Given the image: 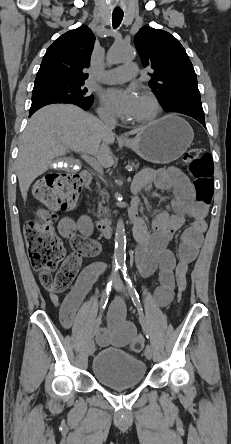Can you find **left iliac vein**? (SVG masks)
I'll list each match as a JSON object with an SVG mask.
<instances>
[{
	"label": "left iliac vein",
	"mask_w": 231,
	"mask_h": 444,
	"mask_svg": "<svg viewBox=\"0 0 231 444\" xmlns=\"http://www.w3.org/2000/svg\"><path fill=\"white\" fill-rule=\"evenodd\" d=\"M114 288L117 290V291H119V292H121V293H127V289H126V287L123 285V283L120 281V280H118V279H116L115 280V283H114ZM145 356H146V358L147 359H151L152 358V354H153V350H152V347H151V345L150 344H147L146 345V347H145Z\"/></svg>",
	"instance_id": "left-iliac-vein-1"
}]
</instances>
